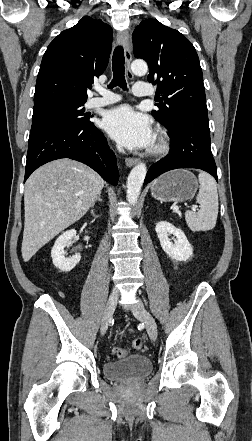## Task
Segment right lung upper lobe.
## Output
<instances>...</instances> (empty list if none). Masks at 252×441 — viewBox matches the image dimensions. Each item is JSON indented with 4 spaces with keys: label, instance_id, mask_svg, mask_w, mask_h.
<instances>
[{
    "label": "right lung upper lobe",
    "instance_id": "right-lung-upper-lobe-1",
    "mask_svg": "<svg viewBox=\"0 0 252 441\" xmlns=\"http://www.w3.org/2000/svg\"><path fill=\"white\" fill-rule=\"evenodd\" d=\"M112 28L89 16L62 31L44 53L34 104L52 99L87 100V87L107 67Z\"/></svg>",
    "mask_w": 252,
    "mask_h": 441
}]
</instances>
